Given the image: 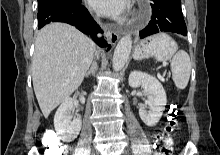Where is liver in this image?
Wrapping results in <instances>:
<instances>
[{"label": "liver", "mask_w": 220, "mask_h": 155, "mask_svg": "<svg viewBox=\"0 0 220 155\" xmlns=\"http://www.w3.org/2000/svg\"><path fill=\"white\" fill-rule=\"evenodd\" d=\"M95 53V44L64 23L42 28L35 41L32 80L45 118L81 85Z\"/></svg>", "instance_id": "6515ba94"}]
</instances>
